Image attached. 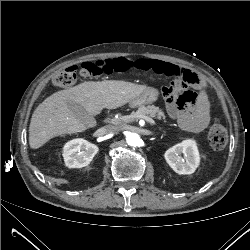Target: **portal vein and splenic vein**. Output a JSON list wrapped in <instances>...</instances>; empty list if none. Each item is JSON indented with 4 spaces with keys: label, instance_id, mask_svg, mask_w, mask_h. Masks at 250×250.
Segmentation results:
<instances>
[{
    "label": "portal vein and splenic vein",
    "instance_id": "1",
    "mask_svg": "<svg viewBox=\"0 0 250 250\" xmlns=\"http://www.w3.org/2000/svg\"><path fill=\"white\" fill-rule=\"evenodd\" d=\"M122 118H131V116H125V117H122ZM139 118L144 119V120H146L147 122H149L151 124H154V125L156 124V122L152 118H150L149 116L142 115Z\"/></svg>",
    "mask_w": 250,
    "mask_h": 250
}]
</instances>
